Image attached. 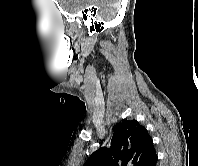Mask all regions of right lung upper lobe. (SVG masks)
Returning <instances> with one entry per match:
<instances>
[{
	"mask_svg": "<svg viewBox=\"0 0 198 166\" xmlns=\"http://www.w3.org/2000/svg\"><path fill=\"white\" fill-rule=\"evenodd\" d=\"M155 154L145 127L125 120L115 127L110 148L93 152L84 166H146Z\"/></svg>",
	"mask_w": 198,
	"mask_h": 166,
	"instance_id": "1",
	"label": "right lung upper lobe"
}]
</instances>
